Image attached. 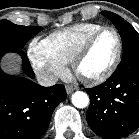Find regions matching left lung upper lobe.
Segmentation results:
<instances>
[{
	"label": "left lung upper lobe",
	"mask_w": 139,
	"mask_h": 139,
	"mask_svg": "<svg viewBox=\"0 0 139 139\" xmlns=\"http://www.w3.org/2000/svg\"><path fill=\"white\" fill-rule=\"evenodd\" d=\"M102 14L110 19L119 30L123 42V55L134 50L135 48H139V33L131 24L112 12L103 11Z\"/></svg>",
	"instance_id": "1"
}]
</instances>
